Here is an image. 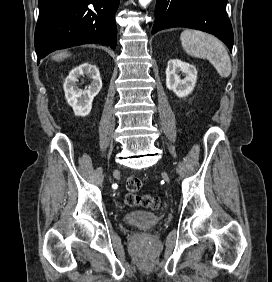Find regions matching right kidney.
<instances>
[{"label": "right kidney", "mask_w": 272, "mask_h": 282, "mask_svg": "<svg viewBox=\"0 0 272 282\" xmlns=\"http://www.w3.org/2000/svg\"><path fill=\"white\" fill-rule=\"evenodd\" d=\"M84 75L90 79V84L87 90L82 91L76 86V82ZM63 88L67 102L73 108L75 115L87 116L92 109L94 97L102 88L100 72L96 66L83 63L70 71Z\"/></svg>", "instance_id": "1"}]
</instances>
